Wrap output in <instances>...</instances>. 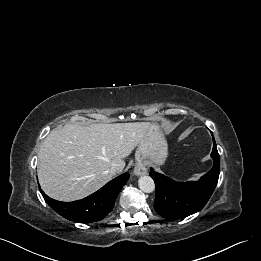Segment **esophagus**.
I'll list each match as a JSON object with an SVG mask.
<instances>
[{
  "instance_id": "esophagus-1",
  "label": "esophagus",
  "mask_w": 261,
  "mask_h": 261,
  "mask_svg": "<svg viewBox=\"0 0 261 261\" xmlns=\"http://www.w3.org/2000/svg\"><path fill=\"white\" fill-rule=\"evenodd\" d=\"M146 173H147L146 166L141 161H138L134 167V174L136 176H141V175H145Z\"/></svg>"
}]
</instances>
